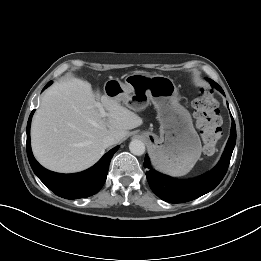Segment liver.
Segmentation results:
<instances>
[{"mask_svg":"<svg viewBox=\"0 0 261 261\" xmlns=\"http://www.w3.org/2000/svg\"><path fill=\"white\" fill-rule=\"evenodd\" d=\"M97 99L107 118L96 107ZM142 124V118L118 101L95 94L89 82L72 78L55 83L44 93L32 120V151L49 170L79 172L104 154L105 136H113L118 143Z\"/></svg>","mask_w":261,"mask_h":261,"instance_id":"obj_1","label":"liver"}]
</instances>
